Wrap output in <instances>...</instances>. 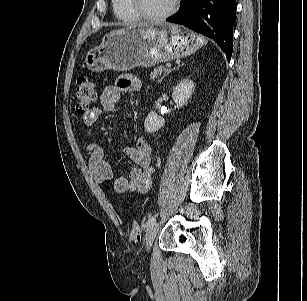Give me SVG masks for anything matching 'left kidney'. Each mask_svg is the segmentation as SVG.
<instances>
[{"label":"left kidney","mask_w":307,"mask_h":301,"mask_svg":"<svg viewBox=\"0 0 307 301\" xmlns=\"http://www.w3.org/2000/svg\"><path fill=\"white\" fill-rule=\"evenodd\" d=\"M194 90V83L190 79H184L173 89L172 97L176 107L180 108L186 104ZM165 124V119L151 111L144 122L145 131L153 133L158 131Z\"/></svg>","instance_id":"left-kidney-1"}]
</instances>
